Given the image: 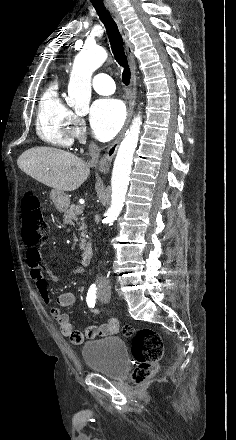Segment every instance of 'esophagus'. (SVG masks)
<instances>
[{"instance_id": "obj_1", "label": "esophagus", "mask_w": 236, "mask_h": 440, "mask_svg": "<svg viewBox=\"0 0 236 440\" xmlns=\"http://www.w3.org/2000/svg\"><path fill=\"white\" fill-rule=\"evenodd\" d=\"M106 7L109 10V12L112 14L113 18L115 19L118 29L121 33V36L125 42L126 50L128 53L129 58V64L131 69V81H130V88H129V104H128V110H127V119L125 122V125L118 136V138L112 143V145L108 148L106 154L101 158L99 162V170L106 174L108 173L111 162L116 154V151L118 149V146L120 144V141L124 135V132L126 131L128 124L130 122V119L133 114L134 106H135V100H136V90H137V77H136V63H135V56H134V48L133 44L131 43L129 39V34L125 26L123 25L121 21V17L115 7V5L112 2L107 1Z\"/></svg>"}]
</instances>
